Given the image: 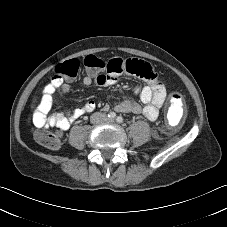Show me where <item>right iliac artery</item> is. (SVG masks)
I'll use <instances>...</instances> for the list:
<instances>
[{
	"label": "right iliac artery",
	"mask_w": 227,
	"mask_h": 227,
	"mask_svg": "<svg viewBox=\"0 0 227 227\" xmlns=\"http://www.w3.org/2000/svg\"><path fill=\"white\" fill-rule=\"evenodd\" d=\"M108 117L110 118V119H115L116 118V114L114 113V112H110L109 114H108Z\"/></svg>",
	"instance_id": "1"
}]
</instances>
